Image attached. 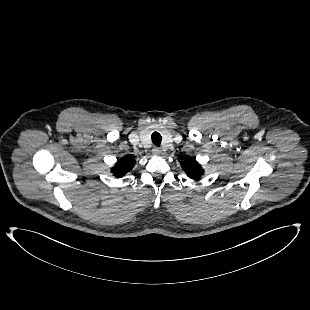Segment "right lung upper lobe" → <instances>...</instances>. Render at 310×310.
<instances>
[{"label": "right lung upper lobe", "mask_w": 310, "mask_h": 310, "mask_svg": "<svg viewBox=\"0 0 310 310\" xmlns=\"http://www.w3.org/2000/svg\"><path fill=\"white\" fill-rule=\"evenodd\" d=\"M135 164V160L131 156L121 158L111 170L116 177H122L129 172Z\"/></svg>", "instance_id": "obj_1"}]
</instances>
